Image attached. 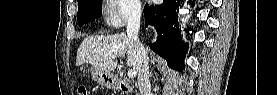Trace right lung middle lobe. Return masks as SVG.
Listing matches in <instances>:
<instances>
[{
	"label": "right lung middle lobe",
	"instance_id": "1",
	"mask_svg": "<svg viewBox=\"0 0 277 95\" xmlns=\"http://www.w3.org/2000/svg\"><path fill=\"white\" fill-rule=\"evenodd\" d=\"M102 0H81L78 2V24L81 26L93 22L102 11Z\"/></svg>",
	"mask_w": 277,
	"mask_h": 95
}]
</instances>
